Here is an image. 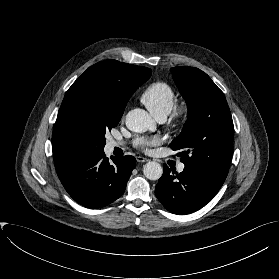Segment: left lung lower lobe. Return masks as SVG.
<instances>
[{"mask_svg": "<svg viewBox=\"0 0 279 279\" xmlns=\"http://www.w3.org/2000/svg\"><path fill=\"white\" fill-rule=\"evenodd\" d=\"M224 182L204 171L184 168L178 174L167 165L158 180L155 194L171 213L184 215L199 210L220 190Z\"/></svg>", "mask_w": 279, "mask_h": 279, "instance_id": "1", "label": "left lung lower lobe"}]
</instances>
